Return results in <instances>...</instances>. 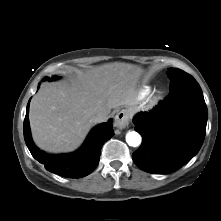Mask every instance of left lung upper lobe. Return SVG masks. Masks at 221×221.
<instances>
[{
    "label": "left lung upper lobe",
    "mask_w": 221,
    "mask_h": 221,
    "mask_svg": "<svg viewBox=\"0 0 221 221\" xmlns=\"http://www.w3.org/2000/svg\"><path fill=\"white\" fill-rule=\"evenodd\" d=\"M167 75L170 79V90L176 88L182 83L195 81L191 75L178 68H169Z\"/></svg>",
    "instance_id": "left-lung-upper-lobe-1"
}]
</instances>
